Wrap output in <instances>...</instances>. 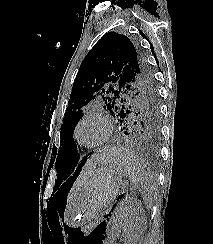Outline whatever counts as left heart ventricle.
I'll return each mask as SVG.
<instances>
[{"label": "left heart ventricle", "mask_w": 213, "mask_h": 244, "mask_svg": "<svg viewBox=\"0 0 213 244\" xmlns=\"http://www.w3.org/2000/svg\"><path fill=\"white\" fill-rule=\"evenodd\" d=\"M103 136L104 126L99 121H87L79 129V138L86 144L97 143Z\"/></svg>", "instance_id": "left-heart-ventricle-1"}]
</instances>
